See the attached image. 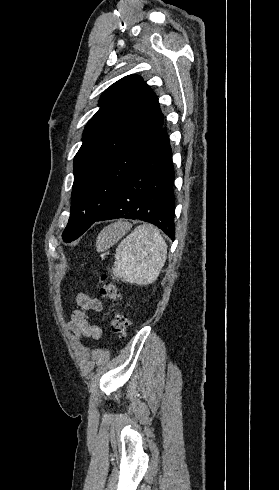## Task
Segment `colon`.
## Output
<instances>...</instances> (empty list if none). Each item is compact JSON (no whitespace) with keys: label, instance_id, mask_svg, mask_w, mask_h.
Segmentation results:
<instances>
[{"label":"colon","instance_id":"1","mask_svg":"<svg viewBox=\"0 0 279 490\" xmlns=\"http://www.w3.org/2000/svg\"><path fill=\"white\" fill-rule=\"evenodd\" d=\"M98 290L100 296L103 299L107 301H113L115 305L118 304L120 296L117 291L116 285L111 279L107 277L102 278L98 284ZM108 318L113 333L115 335L121 336L122 338L126 337L129 328L128 319L121 314H114V315L110 314Z\"/></svg>","mask_w":279,"mask_h":490}]
</instances>
